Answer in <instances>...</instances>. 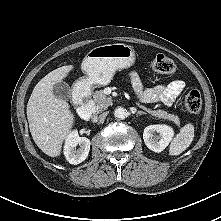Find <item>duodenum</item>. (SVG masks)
Wrapping results in <instances>:
<instances>
[{
	"mask_svg": "<svg viewBox=\"0 0 221 221\" xmlns=\"http://www.w3.org/2000/svg\"><path fill=\"white\" fill-rule=\"evenodd\" d=\"M79 115L83 120H90L95 115V104L93 101L81 98L78 101Z\"/></svg>",
	"mask_w": 221,
	"mask_h": 221,
	"instance_id": "duodenum-1",
	"label": "duodenum"
}]
</instances>
